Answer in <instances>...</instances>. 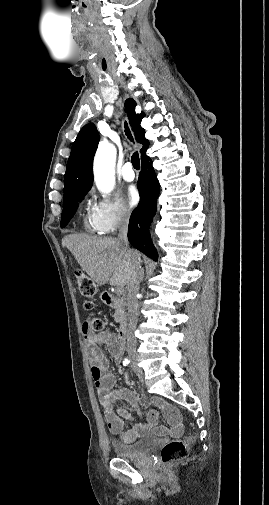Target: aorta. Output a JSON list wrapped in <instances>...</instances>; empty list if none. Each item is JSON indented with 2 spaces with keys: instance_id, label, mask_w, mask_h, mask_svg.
Listing matches in <instances>:
<instances>
[{
  "instance_id": "obj_1",
  "label": "aorta",
  "mask_w": 269,
  "mask_h": 505,
  "mask_svg": "<svg viewBox=\"0 0 269 505\" xmlns=\"http://www.w3.org/2000/svg\"><path fill=\"white\" fill-rule=\"evenodd\" d=\"M116 148L111 143L98 147L94 158V180L98 190L109 195L115 186Z\"/></svg>"
}]
</instances>
